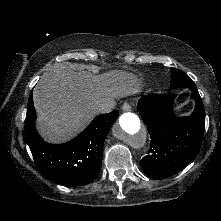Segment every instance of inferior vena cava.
<instances>
[{"instance_id":"1","label":"inferior vena cava","mask_w":221,"mask_h":221,"mask_svg":"<svg viewBox=\"0 0 221 221\" xmlns=\"http://www.w3.org/2000/svg\"><path fill=\"white\" fill-rule=\"evenodd\" d=\"M114 106H115V102L114 101L102 103L97 108V113H109V112L112 111Z\"/></svg>"}]
</instances>
